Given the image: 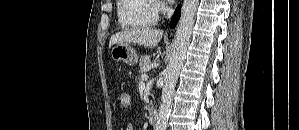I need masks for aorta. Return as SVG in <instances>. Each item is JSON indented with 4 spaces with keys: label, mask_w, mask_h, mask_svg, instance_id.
<instances>
[{
    "label": "aorta",
    "mask_w": 299,
    "mask_h": 130,
    "mask_svg": "<svg viewBox=\"0 0 299 130\" xmlns=\"http://www.w3.org/2000/svg\"><path fill=\"white\" fill-rule=\"evenodd\" d=\"M198 2V0H184L183 2L172 53L164 73V85L155 130H166L167 128L168 117L172 107L173 94L180 70L186 58L195 22Z\"/></svg>",
    "instance_id": "762f6f07"
}]
</instances>
